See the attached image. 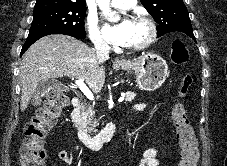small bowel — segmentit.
<instances>
[{
	"label": "small bowel",
	"instance_id": "obj_1",
	"mask_svg": "<svg viewBox=\"0 0 227 166\" xmlns=\"http://www.w3.org/2000/svg\"><path fill=\"white\" fill-rule=\"evenodd\" d=\"M144 109V105L143 104H137L134 107L135 111H141ZM157 151L156 149H148L142 159L140 160V162L138 163L137 166H158L159 165V161L156 157ZM58 157L60 160H62L64 163L70 164L73 162L74 160V153L73 152H69L65 149H60L58 151Z\"/></svg>",
	"mask_w": 227,
	"mask_h": 166
}]
</instances>
